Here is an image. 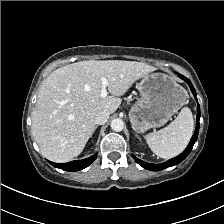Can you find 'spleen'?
Listing matches in <instances>:
<instances>
[{"label":"spleen","mask_w":224,"mask_h":224,"mask_svg":"<svg viewBox=\"0 0 224 224\" xmlns=\"http://www.w3.org/2000/svg\"><path fill=\"white\" fill-rule=\"evenodd\" d=\"M194 130L191 110L182 108L178 116L165 128L146 136V142L163 159L176 157L187 147Z\"/></svg>","instance_id":"obj_1"}]
</instances>
